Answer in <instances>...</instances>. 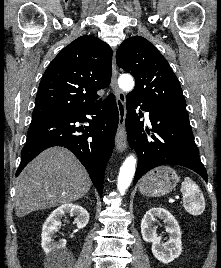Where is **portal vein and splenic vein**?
I'll return each instance as SVG.
<instances>
[{"label": "portal vein and splenic vein", "instance_id": "1", "mask_svg": "<svg viewBox=\"0 0 221 268\" xmlns=\"http://www.w3.org/2000/svg\"><path fill=\"white\" fill-rule=\"evenodd\" d=\"M169 201H170V203H173L174 202V199H170Z\"/></svg>", "mask_w": 221, "mask_h": 268}]
</instances>
